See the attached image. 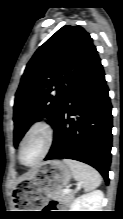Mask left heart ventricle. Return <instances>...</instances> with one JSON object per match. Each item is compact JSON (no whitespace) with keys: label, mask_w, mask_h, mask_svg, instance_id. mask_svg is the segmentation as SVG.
I'll return each mask as SVG.
<instances>
[{"label":"left heart ventricle","mask_w":123,"mask_h":219,"mask_svg":"<svg viewBox=\"0 0 123 219\" xmlns=\"http://www.w3.org/2000/svg\"><path fill=\"white\" fill-rule=\"evenodd\" d=\"M44 148V135L42 132H36L30 136L24 143L22 150V159L25 163H34L41 156Z\"/></svg>","instance_id":"1"}]
</instances>
